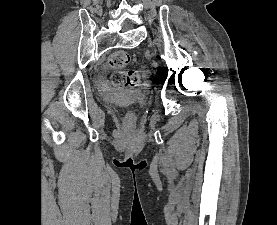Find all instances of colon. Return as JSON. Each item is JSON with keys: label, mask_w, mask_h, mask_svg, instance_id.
Wrapping results in <instances>:
<instances>
[{"label": "colon", "mask_w": 277, "mask_h": 225, "mask_svg": "<svg viewBox=\"0 0 277 225\" xmlns=\"http://www.w3.org/2000/svg\"><path fill=\"white\" fill-rule=\"evenodd\" d=\"M131 61V56L125 51L114 53L109 59L111 75L105 81L108 89H129L139 85L143 74L137 70H126ZM126 124L129 126L134 120V115L128 113Z\"/></svg>", "instance_id": "colon-1"}]
</instances>
